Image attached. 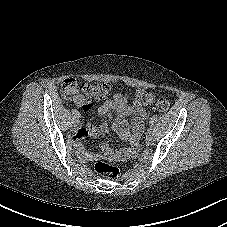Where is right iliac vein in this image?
I'll return each mask as SVG.
<instances>
[{
  "instance_id": "1",
  "label": "right iliac vein",
  "mask_w": 227,
  "mask_h": 227,
  "mask_svg": "<svg viewBox=\"0 0 227 227\" xmlns=\"http://www.w3.org/2000/svg\"><path fill=\"white\" fill-rule=\"evenodd\" d=\"M77 128H78L77 125H73V126L71 127L72 132H75V131L77 130Z\"/></svg>"
}]
</instances>
